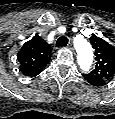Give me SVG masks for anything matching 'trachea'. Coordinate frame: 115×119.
I'll list each match as a JSON object with an SVG mask.
<instances>
[{
	"instance_id": "3493384b",
	"label": "trachea",
	"mask_w": 115,
	"mask_h": 119,
	"mask_svg": "<svg viewBox=\"0 0 115 119\" xmlns=\"http://www.w3.org/2000/svg\"><path fill=\"white\" fill-rule=\"evenodd\" d=\"M68 44V38L66 36H61L56 41V47H64Z\"/></svg>"
}]
</instances>
